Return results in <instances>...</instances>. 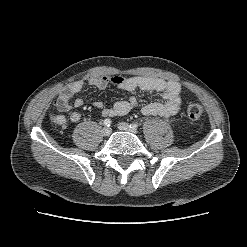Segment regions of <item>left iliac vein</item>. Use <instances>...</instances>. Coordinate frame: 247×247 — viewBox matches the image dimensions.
<instances>
[{"label":"left iliac vein","instance_id":"4c4485c4","mask_svg":"<svg viewBox=\"0 0 247 247\" xmlns=\"http://www.w3.org/2000/svg\"><path fill=\"white\" fill-rule=\"evenodd\" d=\"M118 129L121 130V131H128V132H131V133H136V130L130 128L129 124L125 123V122L119 123L118 124Z\"/></svg>","mask_w":247,"mask_h":247}]
</instances>
